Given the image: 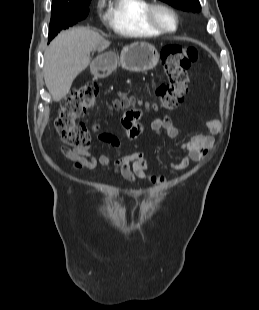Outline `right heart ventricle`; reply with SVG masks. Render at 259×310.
<instances>
[{
    "instance_id": "right-heart-ventricle-1",
    "label": "right heart ventricle",
    "mask_w": 259,
    "mask_h": 310,
    "mask_svg": "<svg viewBox=\"0 0 259 310\" xmlns=\"http://www.w3.org/2000/svg\"><path fill=\"white\" fill-rule=\"evenodd\" d=\"M150 0H109L106 23L116 33L134 37L150 38L162 35L146 21Z\"/></svg>"
}]
</instances>
